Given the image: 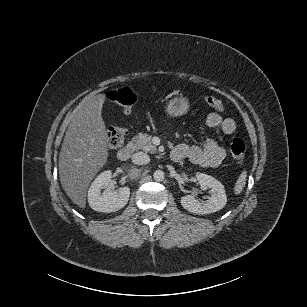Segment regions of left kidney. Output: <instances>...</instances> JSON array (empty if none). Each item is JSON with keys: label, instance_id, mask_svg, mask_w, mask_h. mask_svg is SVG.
<instances>
[{"label": "left kidney", "instance_id": "1", "mask_svg": "<svg viewBox=\"0 0 307 307\" xmlns=\"http://www.w3.org/2000/svg\"><path fill=\"white\" fill-rule=\"evenodd\" d=\"M197 179L202 189H210L211 197L207 202H199L191 195L182 196L181 206L185 210L199 215L214 213L222 209L227 202L223 185L218 180L205 174H198Z\"/></svg>", "mask_w": 307, "mask_h": 307}]
</instances>
